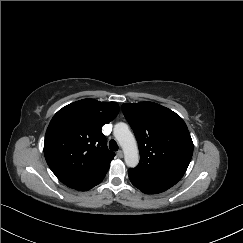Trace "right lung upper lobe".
<instances>
[{
    "label": "right lung upper lobe",
    "instance_id": "obj_1",
    "mask_svg": "<svg viewBox=\"0 0 243 243\" xmlns=\"http://www.w3.org/2000/svg\"><path fill=\"white\" fill-rule=\"evenodd\" d=\"M118 112L116 102L83 99L54 115L46 131L44 155L62 183L70 186L110 167L115 153L108 149L101 128Z\"/></svg>",
    "mask_w": 243,
    "mask_h": 243
}]
</instances>
